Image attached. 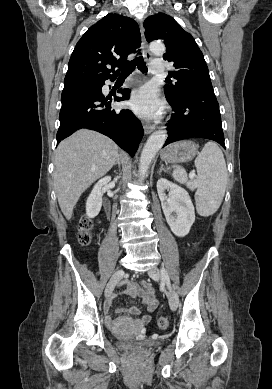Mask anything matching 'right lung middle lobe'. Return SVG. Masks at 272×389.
<instances>
[{
	"instance_id": "1",
	"label": "right lung middle lobe",
	"mask_w": 272,
	"mask_h": 389,
	"mask_svg": "<svg viewBox=\"0 0 272 389\" xmlns=\"http://www.w3.org/2000/svg\"><path fill=\"white\" fill-rule=\"evenodd\" d=\"M103 82H95V83H88V84H83V86H98L102 84Z\"/></svg>"
}]
</instances>
